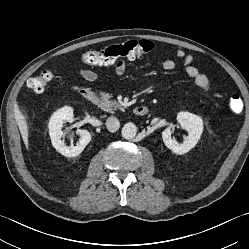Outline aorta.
<instances>
[{"label":"aorta","mask_w":249,"mask_h":249,"mask_svg":"<svg viewBox=\"0 0 249 249\" xmlns=\"http://www.w3.org/2000/svg\"><path fill=\"white\" fill-rule=\"evenodd\" d=\"M122 136L123 138L125 139H133L135 136H136V133H137V127L134 123H126L123 128H122Z\"/></svg>","instance_id":"aorta-1"}]
</instances>
